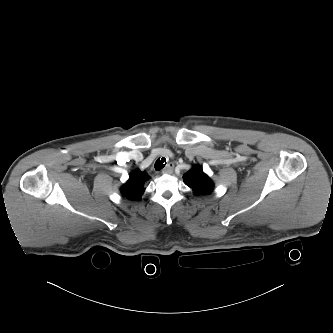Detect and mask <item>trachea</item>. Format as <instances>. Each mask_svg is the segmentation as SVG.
Returning a JSON list of instances; mask_svg holds the SVG:
<instances>
[{
  "label": "trachea",
  "mask_w": 333,
  "mask_h": 333,
  "mask_svg": "<svg viewBox=\"0 0 333 333\" xmlns=\"http://www.w3.org/2000/svg\"><path fill=\"white\" fill-rule=\"evenodd\" d=\"M164 162H166V159L163 157L161 160L160 159H158L156 162H155V165H154V167H155V170H157V171H159V170H161L162 168H164V166H165V164H164Z\"/></svg>",
  "instance_id": "obj_1"
}]
</instances>
